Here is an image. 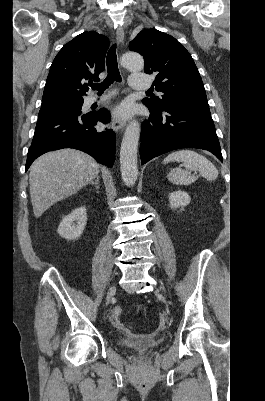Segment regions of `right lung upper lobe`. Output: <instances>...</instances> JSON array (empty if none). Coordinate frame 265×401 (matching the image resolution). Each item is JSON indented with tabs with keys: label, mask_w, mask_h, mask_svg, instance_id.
<instances>
[{
	"label": "right lung upper lobe",
	"mask_w": 265,
	"mask_h": 401,
	"mask_svg": "<svg viewBox=\"0 0 265 401\" xmlns=\"http://www.w3.org/2000/svg\"><path fill=\"white\" fill-rule=\"evenodd\" d=\"M108 47V38L94 31L84 32L65 44L50 67L42 105L83 99L88 87L82 81L99 80Z\"/></svg>",
	"instance_id": "obj_1"
}]
</instances>
